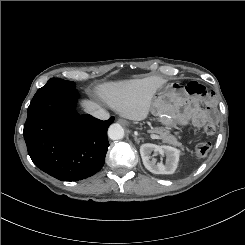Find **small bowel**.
<instances>
[{
	"mask_svg": "<svg viewBox=\"0 0 245 245\" xmlns=\"http://www.w3.org/2000/svg\"><path fill=\"white\" fill-rule=\"evenodd\" d=\"M186 90L190 95L195 96H207L208 90L200 83L196 81H191L186 84ZM209 113L207 110L199 108L197 105H194V115L193 123L196 126H201L208 120Z\"/></svg>",
	"mask_w": 245,
	"mask_h": 245,
	"instance_id": "small-bowel-1",
	"label": "small bowel"
}]
</instances>
